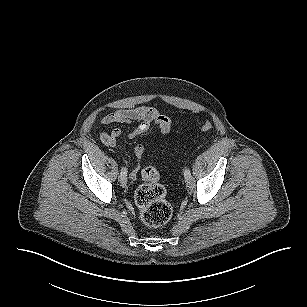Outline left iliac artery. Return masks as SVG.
Instances as JSON below:
<instances>
[{"label": "left iliac artery", "instance_id": "obj_1", "mask_svg": "<svg viewBox=\"0 0 307 307\" xmlns=\"http://www.w3.org/2000/svg\"><path fill=\"white\" fill-rule=\"evenodd\" d=\"M189 174H191V172H190V170H189L188 168H186V169L184 170V176L186 177V176H188Z\"/></svg>", "mask_w": 307, "mask_h": 307}]
</instances>
